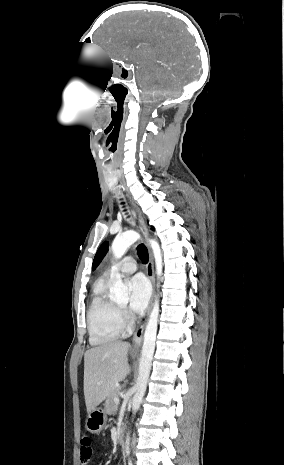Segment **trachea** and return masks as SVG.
Returning a JSON list of instances; mask_svg holds the SVG:
<instances>
[{"label": "trachea", "instance_id": "obj_1", "mask_svg": "<svg viewBox=\"0 0 284 465\" xmlns=\"http://www.w3.org/2000/svg\"><path fill=\"white\" fill-rule=\"evenodd\" d=\"M137 253H138V256L140 258V260L143 262V263H147L148 260H149V254H148V251H147V248L145 247V245H143L142 243L140 245H138L137 247Z\"/></svg>", "mask_w": 284, "mask_h": 465}]
</instances>
